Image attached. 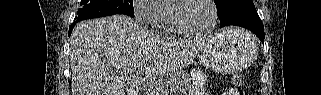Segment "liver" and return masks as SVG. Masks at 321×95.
<instances>
[{"mask_svg":"<svg viewBox=\"0 0 321 95\" xmlns=\"http://www.w3.org/2000/svg\"><path fill=\"white\" fill-rule=\"evenodd\" d=\"M205 43L153 34L125 15L79 22L70 41L72 95H125L133 73L185 68Z\"/></svg>","mask_w":321,"mask_h":95,"instance_id":"1","label":"liver"}]
</instances>
